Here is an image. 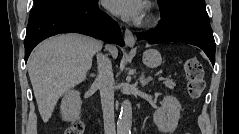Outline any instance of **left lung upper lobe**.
Returning <instances> with one entry per match:
<instances>
[{
	"label": "left lung upper lobe",
	"instance_id": "left-lung-upper-lobe-1",
	"mask_svg": "<svg viewBox=\"0 0 239 134\" xmlns=\"http://www.w3.org/2000/svg\"><path fill=\"white\" fill-rule=\"evenodd\" d=\"M189 0H158L162 17H166L171 14L181 3ZM205 2V0H194Z\"/></svg>",
	"mask_w": 239,
	"mask_h": 134
}]
</instances>
